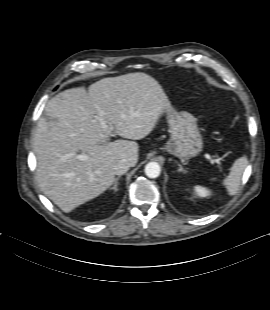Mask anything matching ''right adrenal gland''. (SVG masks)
<instances>
[{
    "mask_svg": "<svg viewBox=\"0 0 270 310\" xmlns=\"http://www.w3.org/2000/svg\"><path fill=\"white\" fill-rule=\"evenodd\" d=\"M120 178L121 176L116 177L113 186L110 188L114 193L118 191V181Z\"/></svg>",
    "mask_w": 270,
    "mask_h": 310,
    "instance_id": "1",
    "label": "right adrenal gland"
}]
</instances>
